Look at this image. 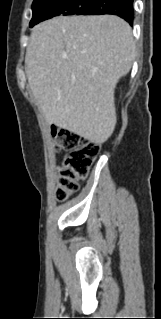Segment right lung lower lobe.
I'll return each instance as SVG.
<instances>
[{"instance_id":"1","label":"right lung lower lobe","mask_w":161,"mask_h":319,"mask_svg":"<svg viewBox=\"0 0 161 319\" xmlns=\"http://www.w3.org/2000/svg\"><path fill=\"white\" fill-rule=\"evenodd\" d=\"M117 15L133 23V0H91V2L76 15Z\"/></svg>"}]
</instances>
